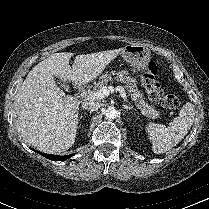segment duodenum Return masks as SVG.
<instances>
[{
    "label": "duodenum",
    "mask_w": 209,
    "mask_h": 209,
    "mask_svg": "<svg viewBox=\"0 0 209 209\" xmlns=\"http://www.w3.org/2000/svg\"><path fill=\"white\" fill-rule=\"evenodd\" d=\"M76 88H78V89L81 88V85L80 84H77L76 85Z\"/></svg>",
    "instance_id": "1"
}]
</instances>
